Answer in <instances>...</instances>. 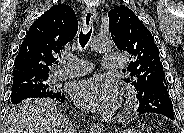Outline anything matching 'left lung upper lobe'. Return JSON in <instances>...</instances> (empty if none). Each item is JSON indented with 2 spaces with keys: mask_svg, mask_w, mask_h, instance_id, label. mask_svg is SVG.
Masks as SVG:
<instances>
[{
  "mask_svg": "<svg viewBox=\"0 0 184 133\" xmlns=\"http://www.w3.org/2000/svg\"><path fill=\"white\" fill-rule=\"evenodd\" d=\"M108 17L115 45L120 51L128 52L132 58L127 70H123L130 75L124 79L125 82L130 83L137 94H142L158 79L167 85L154 38L134 12L126 6H120L111 9ZM161 96L157 94L156 100H160Z\"/></svg>",
  "mask_w": 184,
  "mask_h": 133,
  "instance_id": "obj_1",
  "label": "left lung upper lobe"
}]
</instances>
